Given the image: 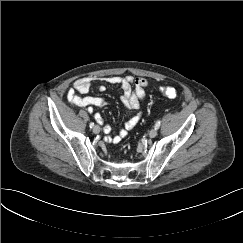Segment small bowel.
<instances>
[{"mask_svg":"<svg viewBox=\"0 0 243 243\" xmlns=\"http://www.w3.org/2000/svg\"><path fill=\"white\" fill-rule=\"evenodd\" d=\"M101 80L98 77H82L75 80L72 87L68 90L67 98L68 100L79 107L87 108L89 112H93L92 107H103L106 105V101L101 97L95 96H81L80 94H85L89 91L92 83ZM106 83L117 86L122 91L121 100L125 108L131 110L140 109L142 101L146 97V89L151 85L150 80L142 77H119L111 76L103 79ZM100 92L106 90L105 85H99ZM142 114L137 113L126 121L124 128L120 129L115 135L108 136L107 141L114 144L119 143L123 138H125L132 128H134L141 120ZM95 119L98 122H102L103 119L99 113L95 114ZM104 132L110 133V125L104 126Z\"/></svg>","mask_w":243,"mask_h":243,"instance_id":"c3829d8e","label":"small bowel"}]
</instances>
